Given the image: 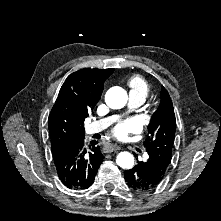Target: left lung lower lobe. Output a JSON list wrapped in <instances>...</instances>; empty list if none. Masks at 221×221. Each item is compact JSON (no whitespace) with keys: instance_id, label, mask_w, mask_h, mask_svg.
Wrapping results in <instances>:
<instances>
[{"instance_id":"obj_1","label":"left lung lower lobe","mask_w":221,"mask_h":221,"mask_svg":"<svg viewBox=\"0 0 221 221\" xmlns=\"http://www.w3.org/2000/svg\"><path fill=\"white\" fill-rule=\"evenodd\" d=\"M149 159L125 171V181L136 191H150L164 179L171 158L157 151L148 152Z\"/></svg>"}]
</instances>
